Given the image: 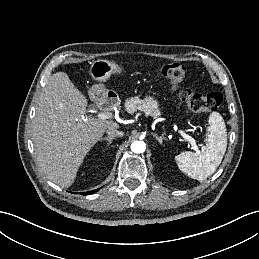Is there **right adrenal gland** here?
<instances>
[{"label":"right adrenal gland","mask_w":259,"mask_h":259,"mask_svg":"<svg viewBox=\"0 0 259 259\" xmlns=\"http://www.w3.org/2000/svg\"><path fill=\"white\" fill-rule=\"evenodd\" d=\"M114 139H115L114 136H108V137H105V138H101L100 142L106 141L107 142V146H109Z\"/></svg>","instance_id":"2a0ac1e0"}]
</instances>
